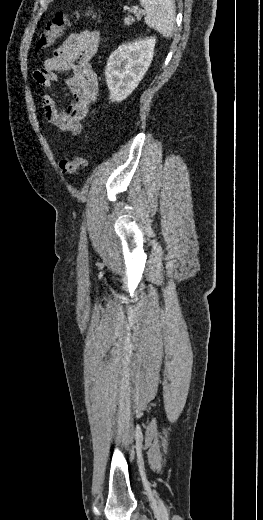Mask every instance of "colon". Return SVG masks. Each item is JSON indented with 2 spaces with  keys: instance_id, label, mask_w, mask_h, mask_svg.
<instances>
[{
  "instance_id": "colon-1",
  "label": "colon",
  "mask_w": 263,
  "mask_h": 520,
  "mask_svg": "<svg viewBox=\"0 0 263 520\" xmlns=\"http://www.w3.org/2000/svg\"><path fill=\"white\" fill-rule=\"evenodd\" d=\"M92 19H97L98 15L93 9L86 13ZM79 17L78 11H60L46 24L39 34L35 44V51H43L50 48L63 31L70 25L71 21ZM86 166V159L76 156L71 159H63L59 162V168L63 174L73 175Z\"/></svg>"
}]
</instances>
